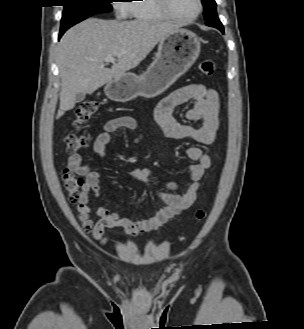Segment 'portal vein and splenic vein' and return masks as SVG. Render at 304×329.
Masks as SVG:
<instances>
[{"mask_svg":"<svg viewBox=\"0 0 304 329\" xmlns=\"http://www.w3.org/2000/svg\"><path fill=\"white\" fill-rule=\"evenodd\" d=\"M116 61V59L114 58L113 55H108L106 58H105V62H111V63H114Z\"/></svg>","mask_w":304,"mask_h":329,"instance_id":"portal-vein-and-splenic-vein-1","label":"portal vein and splenic vein"}]
</instances>
